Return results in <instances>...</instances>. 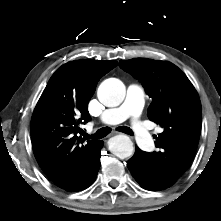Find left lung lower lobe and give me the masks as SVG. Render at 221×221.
I'll list each match as a JSON object with an SVG mask.
<instances>
[{
    "label": "left lung lower lobe",
    "mask_w": 221,
    "mask_h": 221,
    "mask_svg": "<svg viewBox=\"0 0 221 221\" xmlns=\"http://www.w3.org/2000/svg\"><path fill=\"white\" fill-rule=\"evenodd\" d=\"M128 169L135 180L147 190H163L168 186L162 181L159 172L155 169L150 154L136 147L135 154L128 160Z\"/></svg>",
    "instance_id": "1"
}]
</instances>
